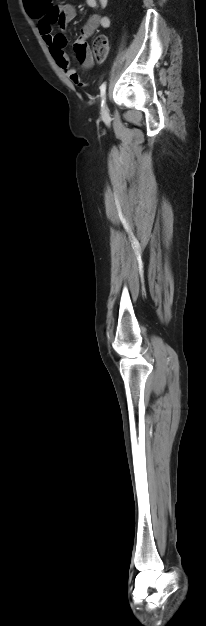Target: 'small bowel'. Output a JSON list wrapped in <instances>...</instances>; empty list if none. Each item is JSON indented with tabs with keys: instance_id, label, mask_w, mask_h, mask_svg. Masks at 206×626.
I'll use <instances>...</instances> for the list:
<instances>
[{
	"instance_id": "1",
	"label": "small bowel",
	"mask_w": 206,
	"mask_h": 626,
	"mask_svg": "<svg viewBox=\"0 0 206 626\" xmlns=\"http://www.w3.org/2000/svg\"><path fill=\"white\" fill-rule=\"evenodd\" d=\"M87 6L93 10L105 8L108 0H85ZM28 14L37 21L39 32L49 47L50 53L61 70L76 85H83V81L76 70L71 66L68 55L65 52L67 36L64 33L67 25L76 17V9L71 4L55 6L51 0H26ZM53 24H57L60 32L55 33ZM111 24L108 16L94 13L83 26L79 37L73 45L74 53L78 62L85 68L92 67L94 58L87 40L98 28H109Z\"/></svg>"
}]
</instances>
